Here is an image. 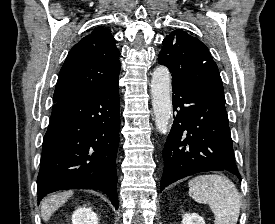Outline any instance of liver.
Returning <instances> with one entry per match:
<instances>
[{"instance_id":"obj_1","label":"liver","mask_w":275,"mask_h":224,"mask_svg":"<svg viewBox=\"0 0 275 224\" xmlns=\"http://www.w3.org/2000/svg\"><path fill=\"white\" fill-rule=\"evenodd\" d=\"M72 191H65L61 193L52 194L44 198L41 202V217L47 222L52 214L61 207L71 196Z\"/></svg>"}]
</instances>
